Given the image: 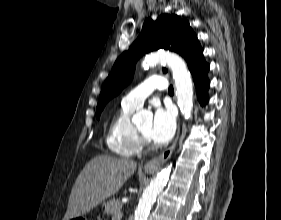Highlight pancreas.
<instances>
[{
	"label": "pancreas",
	"instance_id": "cf45deb5",
	"mask_svg": "<svg viewBox=\"0 0 281 220\" xmlns=\"http://www.w3.org/2000/svg\"><path fill=\"white\" fill-rule=\"evenodd\" d=\"M104 213L112 216V220H119L116 216V212H121L122 205L118 199H110L104 203ZM122 217V216H121Z\"/></svg>",
	"mask_w": 281,
	"mask_h": 220
}]
</instances>
